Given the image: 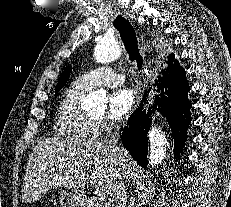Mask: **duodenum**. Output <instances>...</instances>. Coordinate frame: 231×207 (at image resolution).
Wrapping results in <instances>:
<instances>
[{
	"mask_svg": "<svg viewBox=\"0 0 231 207\" xmlns=\"http://www.w3.org/2000/svg\"><path fill=\"white\" fill-rule=\"evenodd\" d=\"M79 198H81V199H85V198H86V196H85L84 194H79Z\"/></svg>",
	"mask_w": 231,
	"mask_h": 207,
	"instance_id": "1",
	"label": "duodenum"
}]
</instances>
